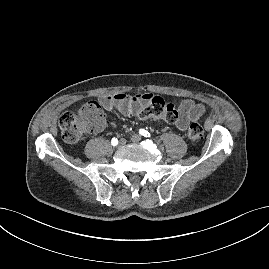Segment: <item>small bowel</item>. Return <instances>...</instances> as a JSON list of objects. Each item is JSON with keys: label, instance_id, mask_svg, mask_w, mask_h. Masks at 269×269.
Wrapping results in <instances>:
<instances>
[{"label": "small bowel", "instance_id": "1", "mask_svg": "<svg viewBox=\"0 0 269 269\" xmlns=\"http://www.w3.org/2000/svg\"><path fill=\"white\" fill-rule=\"evenodd\" d=\"M152 94H116L103 95L99 104L108 111H117L124 115H137L140 110L150 101ZM206 108L203 104L196 103L191 99L182 100L177 104V117L172 122L179 130H186L190 121L198 120L204 115ZM105 120L98 130L104 129Z\"/></svg>", "mask_w": 269, "mask_h": 269}]
</instances>
